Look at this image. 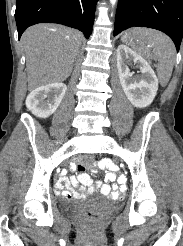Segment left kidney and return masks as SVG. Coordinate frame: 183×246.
Instances as JSON below:
<instances>
[{"label": "left kidney", "instance_id": "1", "mask_svg": "<svg viewBox=\"0 0 183 246\" xmlns=\"http://www.w3.org/2000/svg\"><path fill=\"white\" fill-rule=\"evenodd\" d=\"M133 61L140 75L133 76L128 63ZM117 69L122 89L131 104L143 108L152 103L158 90V79L150 64L126 45L117 48Z\"/></svg>", "mask_w": 183, "mask_h": 246}]
</instances>
